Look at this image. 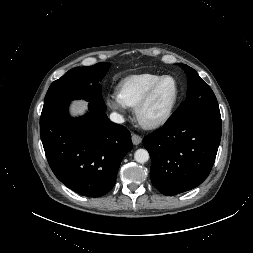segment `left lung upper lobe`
Listing matches in <instances>:
<instances>
[{"mask_svg": "<svg viewBox=\"0 0 253 253\" xmlns=\"http://www.w3.org/2000/svg\"><path fill=\"white\" fill-rule=\"evenodd\" d=\"M187 75V98L168 120V124L197 116L221 117L217 99L211 88L191 67L180 64Z\"/></svg>", "mask_w": 253, "mask_h": 253, "instance_id": "obj_1", "label": "left lung upper lobe"}]
</instances>
